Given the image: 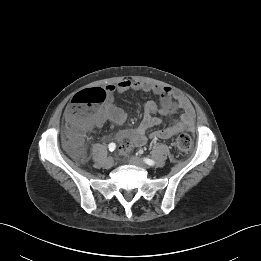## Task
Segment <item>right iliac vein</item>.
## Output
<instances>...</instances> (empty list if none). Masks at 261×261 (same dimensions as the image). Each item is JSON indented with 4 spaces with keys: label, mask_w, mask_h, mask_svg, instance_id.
I'll return each mask as SVG.
<instances>
[{
    "label": "right iliac vein",
    "mask_w": 261,
    "mask_h": 261,
    "mask_svg": "<svg viewBox=\"0 0 261 261\" xmlns=\"http://www.w3.org/2000/svg\"><path fill=\"white\" fill-rule=\"evenodd\" d=\"M113 164H114V160H113V158H111V157L107 158V159L105 160V162H104V166H105V168H107V169L111 168V167L113 166Z\"/></svg>",
    "instance_id": "63e3f726"
}]
</instances>
